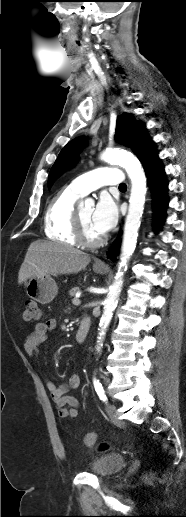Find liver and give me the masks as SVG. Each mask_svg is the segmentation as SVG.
Here are the masks:
<instances>
[{
    "label": "liver",
    "instance_id": "obj_1",
    "mask_svg": "<svg viewBox=\"0 0 186 517\" xmlns=\"http://www.w3.org/2000/svg\"><path fill=\"white\" fill-rule=\"evenodd\" d=\"M90 261L88 254L71 246L38 240L28 248L19 270L18 283L33 277L78 273Z\"/></svg>",
    "mask_w": 186,
    "mask_h": 517
}]
</instances>
